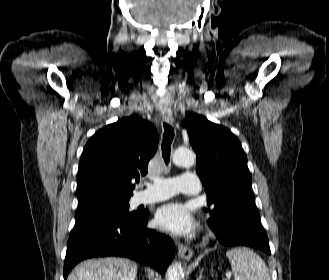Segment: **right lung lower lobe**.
Masks as SVG:
<instances>
[{
  "instance_id": "98d812e1",
  "label": "right lung lower lobe",
  "mask_w": 329,
  "mask_h": 280,
  "mask_svg": "<svg viewBox=\"0 0 329 280\" xmlns=\"http://www.w3.org/2000/svg\"><path fill=\"white\" fill-rule=\"evenodd\" d=\"M148 217V211L132 218L102 210L76 220L67 243L64 280L80 261L103 256L128 257L164 272L174 256V242L147 229Z\"/></svg>"
}]
</instances>
